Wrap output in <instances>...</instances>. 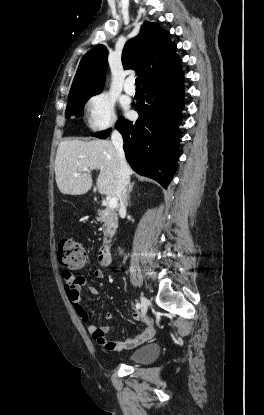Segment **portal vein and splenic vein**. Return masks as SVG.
Segmentation results:
<instances>
[{
  "mask_svg": "<svg viewBox=\"0 0 264 415\" xmlns=\"http://www.w3.org/2000/svg\"><path fill=\"white\" fill-rule=\"evenodd\" d=\"M83 170L85 171V172H89V169L87 168V167H85V168H83ZM106 200H107V206H108V208H110V209H114V208H116L117 207V199L116 198H114V197H107L106 198Z\"/></svg>",
  "mask_w": 264,
  "mask_h": 415,
  "instance_id": "portal-vein-and-splenic-vein-1",
  "label": "portal vein and splenic vein"
}]
</instances>
